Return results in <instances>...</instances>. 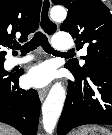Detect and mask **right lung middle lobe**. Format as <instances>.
<instances>
[{
	"mask_svg": "<svg viewBox=\"0 0 112 135\" xmlns=\"http://www.w3.org/2000/svg\"><path fill=\"white\" fill-rule=\"evenodd\" d=\"M3 64L4 61H0V83H3L10 76V73L5 71Z\"/></svg>",
	"mask_w": 112,
	"mask_h": 135,
	"instance_id": "right-lung-middle-lobe-1",
	"label": "right lung middle lobe"
}]
</instances>
